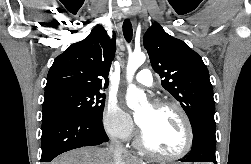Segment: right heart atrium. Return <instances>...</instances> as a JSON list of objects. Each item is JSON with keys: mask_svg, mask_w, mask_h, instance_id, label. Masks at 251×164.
I'll list each match as a JSON object with an SVG mask.
<instances>
[{"mask_svg": "<svg viewBox=\"0 0 251 164\" xmlns=\"http://www.w3.org/2000/svg\"><path fill=\"white\" fill-rule=\"evenodd\" d=\"M102 124L108 136L115 140L126 141L134 133L131 116L113 101H110L103 111Z\"/></svg>", "mask_w": 251, "mask_h": 164, "instance_id": "right-heart-atrium-1", "label": "right heart atrium"}]
</instances>
